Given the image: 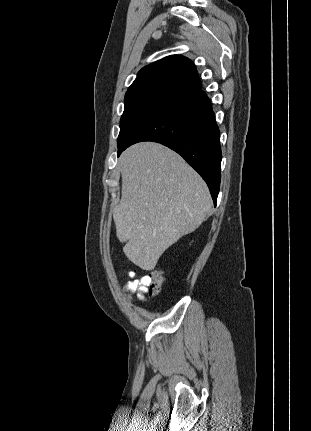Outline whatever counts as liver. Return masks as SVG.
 <instances>
[{
	"instance_id": "6515ba94",
	"label": "liver",
	"mask_w": 311,
	"mask_h": 431,
	"mask_svg": "<svg viewBox=\"0 0 311 431\" xmlns=\"http://www.w3.org/2000/svg\"><path fill=\"white\" fill-rule=\"evenodd\" d=\"M122 196L113 210L123 251L142 269H154L160 255L182 235L195 231L212 200L197 172L169 148L141 142L119 158Z\"/></svg>"
}]
</instances>
